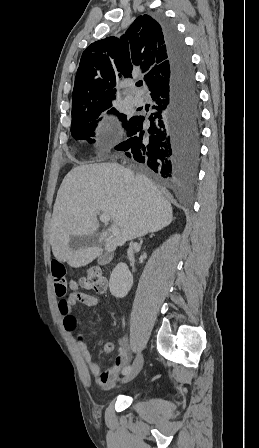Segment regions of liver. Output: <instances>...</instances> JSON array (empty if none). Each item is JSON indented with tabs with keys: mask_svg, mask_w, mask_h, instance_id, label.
Here are the masks:
<instances>
[{
	"mask_svg": "<svg viewBox=\"0 0 259 448\" xmlns=\"http://www.w3.org/2000/svg\"><path fill=\"white\" fill-rule=\"evenodd\" d=\"M125 170L121 164H89L73 168L65 176L57 192L49 230V242L58 262L81 268L102 254L98 246L77 252L69 246L70 236L96 234L100 228L97 212L108 214L121 228L116 238H108V230L101 232L100 242H104L107 252L171 224L172 206L154 182L135 174L130 188H126Z\"/></svg>",
	"mask_w": 259,
	"mask_h": 448,
	"instance_id": "liver-1",
	"label": "liver"
}]
</instances>
